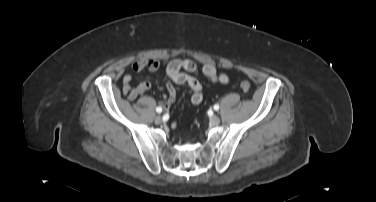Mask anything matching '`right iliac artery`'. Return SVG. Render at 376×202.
Returning <instances> with one entry per match:
<instances>
[{"label":"right iliac artery","mask_w":376,"mask_h":202,"mask_svg":"<svg viewBox=\"0 0 376 202\" xmlns=\"http://www.w3.org/2000/svg\"><path fill=\"white\" fill-rule=\"evenodd\" d=\"M156 112H157V113H161V112H162V108H161V107H157V108H156Z\"/></svg>","instance_id":"82829eb1"}]
</instances>
